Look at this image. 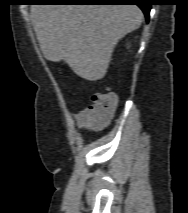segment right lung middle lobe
<instances>
[{
    "mask_svg": "<svg viewBox=\"0 0 188 213\" xmlns=\"http://www.w3.org/2000/svg\"><path fill=\"white\" fill-rule=\"evenodd\" d=\"M36 3L44 2L45 0H34Z\"/></svg>",
    "mask_w": 188,
    "mask_h": 213,
    "instance_id": "1",
    "label": "right lung middle lobe"
}]
</instances>
